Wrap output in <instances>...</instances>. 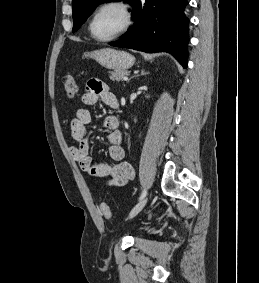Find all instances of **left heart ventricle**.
I'll list each match as a JSON object with an SVG mask.
<instances>
[{"mask_svg":"<svg viewBox=\"0 0 259 283\" xmlns=\"http://www.w3.org/2000/svg\"><path fill=\"white\" fill-rule=\"evenodd\" d=\"M124 24V15L116 7L101 11L92 26L93 34L98 38H107L115 34Z\"/></svg>","mask_w":259,"mask_h":283,"instance_id":"1","label":"left heart ventricle"}]
</instances>
